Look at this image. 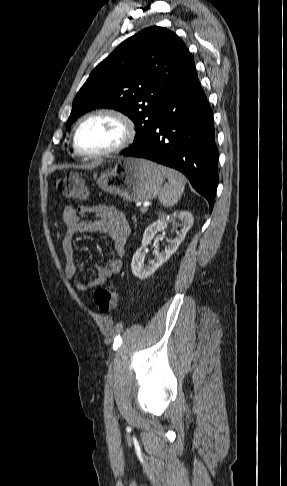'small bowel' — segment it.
<instances>
[{
	"mask_svg": "<svg viewBox=\"0 0 287 486\" xmlns=\"http://www.w3.org/2000/svg\"><path fill=\"white\" fill-rule=\"evenodd\" d=\"M65 234L62 240V250L65 256V276L78 291L102 286L122 268L121 257L125 254L127 240L130 235V225L126 214L116 208L106 206L75 208L67 206L63 211ZM105 232L112 239L116 257L108 265L97 266V276L89 282L77 279V268L74 260L73 240L79 232Z\"/></svg>",
	"mask_w": 287,
	"mask_h": 486,
	"instance_id": "1",
	"label": "small bowel"
}]
</instances>
